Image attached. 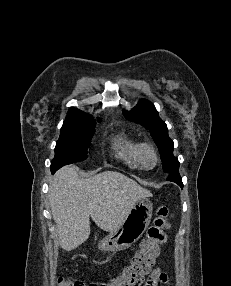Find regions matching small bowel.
<instances>
[{"instance_id": "c3829d8e", "label": "small bowel", "mask_w": 231, "mask_h": 286, "mask_svg": "<svg viewBox=\"0 0 231 286\" xmlns=\"http://www.w3.org/2000/svg\"><path fill=\"white\" fill-rule=\"evenodd\" d=\"M167 275L159 268H155L148 276L143 286H159L160 284H167Z\"/></svg>"}]
</instances>
